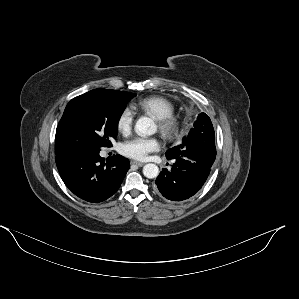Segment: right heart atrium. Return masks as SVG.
I'll list each match as a JSON object with an SVG mask.
<instances>
[{"mask_svg":"<svg viewBox=\"0 0 299 299\" xmlns=\"http://www.w3.org/2000/svg\"><path fill=\"white\" fill-rule=\"evenodd\" d=\"M134 123V112L130 107H125L116 120V129L119 133L127 135L131 132Z\"/></svg>","mask_w":299,"mask_h":299,"instance_id":"right-heart-atrium-1","label":"right heart atrium"}]
</instances>
